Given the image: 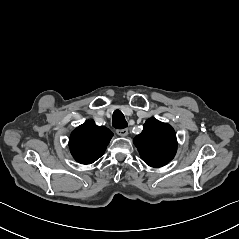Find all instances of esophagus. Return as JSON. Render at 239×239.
Here are the masks:
<instances>
[{
	"label": "esophagus",
	"instance_id": "1",
	"mask_svg": "<svg viewBox=\"0 0 239 239\" xmlns=\"http://www.w3.org/2000/svg\"><path fill=\"white\" fill-rule=\"evenodd\" d=\"M116 133L119 135V136H122V137H125V136H127L128 135V129H118L117 131H116Z\"/></svg>",
	"mask_w": 239,
	"mask_h": 239
}]
</instances>
